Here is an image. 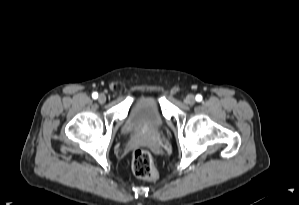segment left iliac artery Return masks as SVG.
<instances>
[{
	"instance_id": "left-iliac-artery-1",
	"label": "left iliac artery",
	"mask_w": 299,
	"mask_h": 205,
	"mask_svg": "<svg viewBox=\"0 0 299 205\" xmlns=\"http://www.w3.org/2000/svg\"><path fill=\"white\" fill-rule=\"evenodd\" d=\"M196 101L198 102L202 101V96L200 94L196 95Z\"/></svg>"
}]
</instances>
